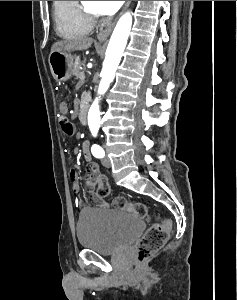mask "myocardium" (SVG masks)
Returning <instances> with one entry per match:
<instances>
[{"mask_svg": "<svg viewBox=\"0 0 237 300\" xmlns=\"http://www.w3.org/2000/svg\"><path fill=\"white\" fill-rule=\"evenodd\" d=\"M81 10L84 13V15L91 21L96 22L101 19V14L99 12H94L90 9H88L85 5L80 4Z\"/></svg>", "mask_w": 237, "mask_h": 300, "instance_id": "f54148a6", "label": "myocardium"}]
</instances>
